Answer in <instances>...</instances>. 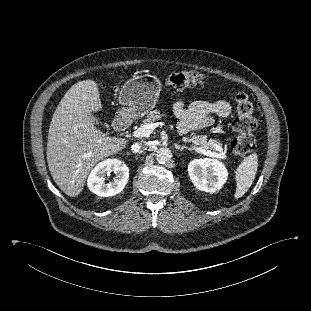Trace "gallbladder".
Listing matches in <instances>:
<instances>
[{
	"label": "gallbladder",
	"mask_w": 311,
	"mask_h": 311,
	"mask_svg": "<svg viewBox=\"0 0 311 311\" xmlns=\"http://www.w3.org/2000/svg\"><path fill=\"white\" fill-rule=\"evenodd\" d=\"M91 117L93 118L96 125L100 124L99 120L94 115H91Z\"/></svg>",
	"instance_id": "obj_1"
}]
</instances>
